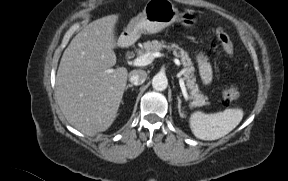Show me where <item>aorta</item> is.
Instances as JSON below:
<instances>
[{"label":"aorta","instance_id":"1","mask_svg":"<svg viewBox=\"0 0 288 181\" xmlns=\"http://www.w3.org/2000/svg\"><path fill=\"white\" fill-rule=\"evenodd\" d=\"M152 86L157 91H163L168 86V79L164 74H156L152 79Z\"/></svg>","mask_w":288,"mask_h":181}]
</instances>
